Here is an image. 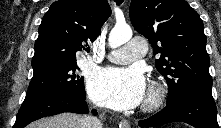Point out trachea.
Listing matches in <instances>:
<instances>
[{"instance_id": "trachea-1", "label": "trachea", "mask_w": 221, "mask_h": 128, "mask_svg": "<svg viewBox=\"0 0 221 128\" xmlns=\"http://www.w3.org/2000/svg\"><path fill=\"white\" fill-rule=\"evenodd\" d=\"M115 2L117 5H121L124 2V0H115Z\"/></svg>"}]
</instances>
